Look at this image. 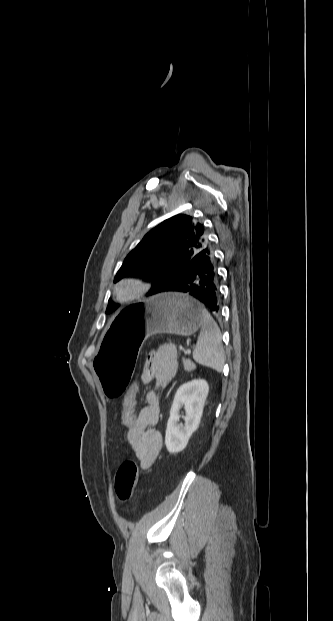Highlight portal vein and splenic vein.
Listing matches in <instances>:
<instances>
[{
	"instance_id": "portal-vein-and-splenic-vein-1",
	"label": "portal vein and splenic vein",
	"mask_w": 333,
	"mask_h": 621,
	"mask_svg": "<svg viewBox=\"0 0 333 621\" xmlns=\"http://www.w3.org/2000/svg\"><path fill=\"white\" fill-rule=\"evenodd\" d=\"M186 353H187V354H190V353H191V350H190V349H188V350L186 351Z\"/></svg>"
}]
</instances>
